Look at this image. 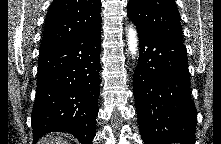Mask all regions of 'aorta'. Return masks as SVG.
I'll use <instances>...</instances> for the list:
<instances>
[{
  "mask_svg": "<svg viewBox=\"0 0 221 144\" xmlns=\"http://www.w3.org/2000/svg\"><path fill=\"white\" fill-rule=\"evenodd\" d=\"M127 39H128V49L130 54L132 55V58H135L137 54V46H138V40H137V32L133 27H130L127 32Z\"/></svg>",
  "mask_w": 221,
  "mask_h": 144,
  "instance_id": "762f6f07",
  "label": "aorta"
}]
</instances>
